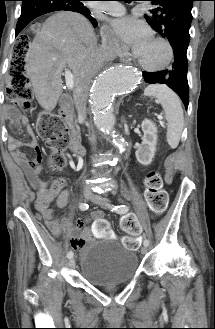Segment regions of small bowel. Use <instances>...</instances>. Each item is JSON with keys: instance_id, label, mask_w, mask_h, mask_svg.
Returning a JSON list of instances; mask_svg holds the SVG:
<instances>
[{"instance_id": "obj_1", "label": "small bowel", "mask_w": 215, "mask_h": 329, "mask_svg": "<svg viewBox=\"0 0 215 329\" xmlns=\"http://www.w3.org/2000/svg\"><path fill=\"white\" fill-rule=\"evenodd\" d=\"M11 122L16 129L25 128L31 133L26 119L17 111L11 114ZM23 146L32 147L37 151L34 158H28L21 150ZM9 148L12 151L13 157L18 165L23 169L31 187L35 190V208L44 219L49 229L53 232H58L61 228L69 230L71 233L80 231V234H73L71 237V246L75 250H81L92 236H98V242H107V236H113L114 225H108V220H103L101 212H94L93 218L97 220H88V227H85V219H77L75 229H72L67 219H62L61 222L54 219L53 210L50 207V202L57 195V204L60 207L65 206L71 197L69 190L64 189L65 182L62 179L54 180L51 183L44 181L41 178V156L35 141L23 142L15 138L9 139ZM142 238L139 237V241Z\"/></svg>"}]
</instances>
